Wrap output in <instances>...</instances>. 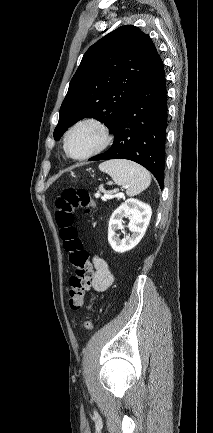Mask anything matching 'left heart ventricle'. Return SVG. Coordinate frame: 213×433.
<instances>
[{"label":"left heart ventricle","mask_w":213,"mask_h":433,"mask_svg":"<svg viewBox=\"0 0 213 433\" xmlns=\"http://www.w3.org/2000/svg\"><path fill=\"white\" fill-rule=\"evenodd\" d=\"M102 134L92 125H84L72 132L69 137V150L73 156L86 155L99 146Z\"/></svg>","instance_id":"left-heart-ventricle-1"}]
</instances>
